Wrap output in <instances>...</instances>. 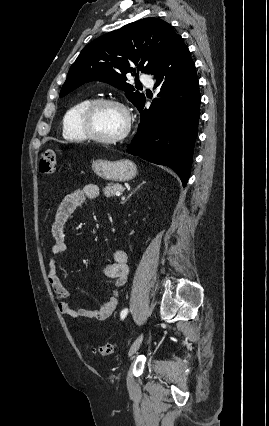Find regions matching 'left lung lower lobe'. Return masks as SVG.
Wrapping results in <instances>:
<instances>
[{
  "label": "left lung lower lobe",
  "mask_w": 269,
  "mask_h": 426,
  "mask_svg": "<svg viewBox=\"0 0 269 426\" xmlns=\"http://www.w3.org/2000/svg\"><path fill=\"white\" fill-rule=\"evenodd\" d=\"M159 98L149 108L137 107L141 123L127 151L172 168L183 186L190 176L200 117V92L195 64L179 35L152 68Z\"/></svg>",
  "instance_id": "1"
}]
</instances>
